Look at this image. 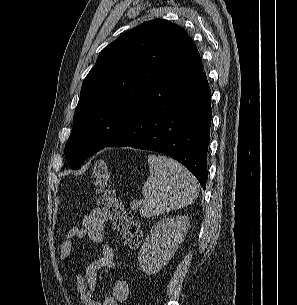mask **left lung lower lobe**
<instances>
[{
	"label": "left lung lower lobe",
	"instance_id": "0a47b994",
	"mask_svg": "<svg viewBox=\"0 0 297 305\" xmlns=\"http://www.w3.org/2000/svg\"><path fill=\"white\" fill-rule=\"evenodd\" d=\"M211 118V91L200 69L152 88L105 147L166 154L186 166L205 189Z\"/></svg>",
	"mask_w": 297,
	"mask_h": 305
}]
</instances>
